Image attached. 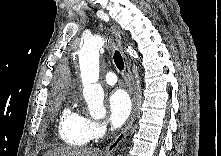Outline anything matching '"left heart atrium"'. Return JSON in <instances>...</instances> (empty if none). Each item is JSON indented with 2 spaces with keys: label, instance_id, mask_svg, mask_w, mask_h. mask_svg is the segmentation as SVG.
Listing matches in <instances>:
<instances>
[{
  "label": "left heart atrium",
  "instance_id": "obj_1",
  "mask_svg": "<svg viewBox=\"0 0 221 156\" xmlns=\"http://www.w3.org/2000/svg\"><path fill=\"white\" fill-rule=\"evenodd\" d=\"M109 119L113 127L122 126L129 118L132 103L128 93L117 89L111 93L108 99Z\"/></svg>",
  "mask_w": 221,
  "mask_h": 156
}]
</instances>
